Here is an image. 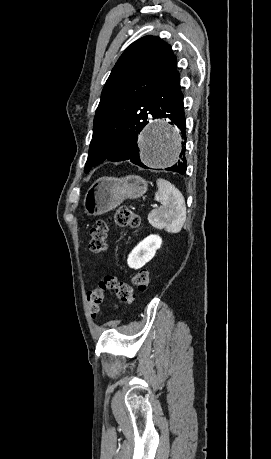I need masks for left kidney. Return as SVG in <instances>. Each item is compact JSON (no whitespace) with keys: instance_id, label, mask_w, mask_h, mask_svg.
Wrapping results in <instances>:
<instances>
[{"instance_id":"obj_1","label":"left kidney","mask_w":271,"mask_h":459,"mask_svg":"<svg viewBox=\"0 0 271 459\" xmlns=\"http://www.w3.org/2000/svg\"><path fill=\"white\" fill-rule=\"evenodd\" d=\"M162 243L160 235H148L143 241H140L131 253L128 255L127 263L129 267H142L147 261H150L156 253V249H159Z\"/></svg>"}]
</instances>
